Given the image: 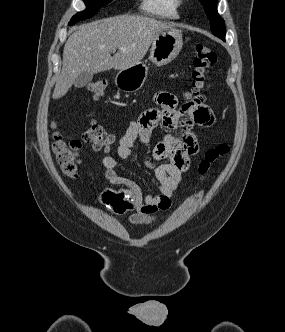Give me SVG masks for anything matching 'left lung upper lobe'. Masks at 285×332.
<instances>
[{
  "mask_svg": "<svg viewBox=\"0 0 285 332\" xmlns=\"http://www.w3.org/2000/svg\"><path fill=\"white\" fill-rule=\"evenodd\" d=\"M202 5L205 7V13L210 19V26L212 33L225 41V24L224 20L220 17L217 12V0H200Z\"/></svg>",
  "mask_w": 285,
  "mask_h": 332,
  "instance_id": "obj_1",
  "label": "left lung upper lobe"
}]
</instances>
